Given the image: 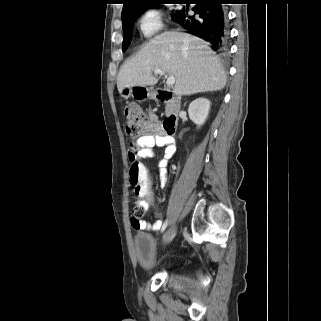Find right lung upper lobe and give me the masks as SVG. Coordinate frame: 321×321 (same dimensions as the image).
<instances>
[{
	"label": "right lung upper lobe",
	"instance_id": "right-lung-upper-lobe-1",
	"mask_svg": "<svg viewBox=\"0 0 321 321\" xmlns=\"http://www.w3.org/2000/svg\"><path fill=\"white\" fill-rule=\"evenodd\" d=\"M162 1L167 0H123L124 6L122 9V16L138 12L148 6L155 5Z\"/></svg>",
	"mask_w": 321,
	"mask_h": 321
}]
</instances>
